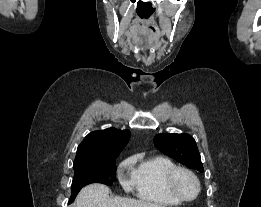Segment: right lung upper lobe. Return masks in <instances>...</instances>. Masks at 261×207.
<instances>
[{"instance_id": "right-lung-upper-lobe-1", "label": "right lung upper lobe", "mask_w": 261, "mask_h": 207, "mask_svg": "<svg viewBox=\"0 0 261 207\" xmlns=\"http://www.w3.org/2000/svg\"><path fill=\"white\" fill-rule=\"evenodd\" d=\"M130 131L108 128L89 133L78 146L74 165L80 163L107 162L115 157L128 143Z\"/></svg>"}]
</instances>
